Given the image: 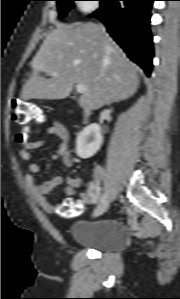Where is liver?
<instances>
[{
  "mask_svg": "<svg viewBox=\"0 0 180 299\" xmlns=\"http://www.w3.org/2000/svg\"><path fill=\"white\" fill-rule=\"evenodd\" d=\"M31 68L23 100L64 99L74 84H82L87 91L79 98L80 107L96 110L130 98L139 87L137 66L104 28L92 22L58 24L43 41ZM42 72L51 78L41 76Z\"/></svg>",
  "mask_w": 180,
  "mask_h": 299,
  "instance_id": "1",
  "label": "liver"
}]
</instances>
